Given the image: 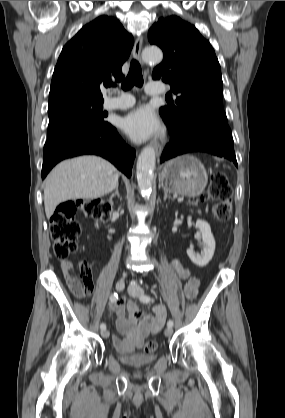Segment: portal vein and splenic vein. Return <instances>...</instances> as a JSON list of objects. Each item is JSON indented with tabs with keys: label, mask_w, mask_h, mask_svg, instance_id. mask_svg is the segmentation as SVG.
I'll return each instance as SVG.
<instances>
[{
	"label": "portal vein and splenic vein",
	"mask_w": 285,
	"mask_h": 418,
	"mask_svg": "<svg viewBox=\"0 0 285 418\" xmlns=\"http://www.w3.org/2000/svg\"><path fill=\"white\" fill-rule=\"evenodd\" d=\"M184 201V198L183 197H180V198H178V202H183Z\"/></svg>",
	"instance_id": "1"
}]
</instances>
